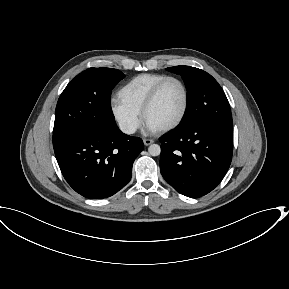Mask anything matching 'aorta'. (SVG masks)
I'll return each instance as SVG.
<instances>
[{
  "instance_id": "obj_1",
  "label": "aorta",
  "mask_w": 289,
  "mask_h": 289,
  "mask_svg": "<svg viewBox=\"0 0 289 289\" xmlns=\"http://www.w3.org/2000/svg\"><path fill=\"white\" fill-rule=\"evenodd\" d=\"M148 152L151 156H158L161 153V148L158 144H151L148 147Z\"/></svg>"
}]
</instances>
